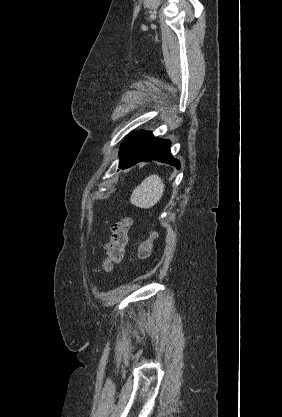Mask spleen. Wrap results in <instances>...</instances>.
<instances>
[{"label":"spleen","mask_w":282,"mask_h":417,"mask_svg":"<svg viewBox=\"0 0 282 417\" xmlns=\"http://www.w3.org/2000/svg\"><path fill=\"white\" fill-rule=\"evenodd\" d=\"M164 182L158 174H150L139 186L134 188L130 200L140 209H151V206L159 202L164 192Z\"/></svg>","instance_id":"3e777b00"}]
</instances>
